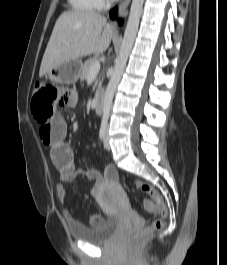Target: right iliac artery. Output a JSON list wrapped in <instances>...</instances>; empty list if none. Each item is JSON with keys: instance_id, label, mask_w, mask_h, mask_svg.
Wrapping results in <instances>:
<instances>
[{"instance_id": "right-iliac-artery-1", "label": "right iliac artery", "mask_w": 227, "mask_h": 265, "mask_svg": "<svg viewBox=\"0 0 227 265\" xmlns=\"http://www.w3.org/2000/svg\"><path fill=\"white\" fill-rule=\"evenodd\" d=\"M106 127H107V124L105 122H103L101 124L100 132H99V137H100L101 140H104V137H105V134H106Z\"/></svg>"}]
</instances>
